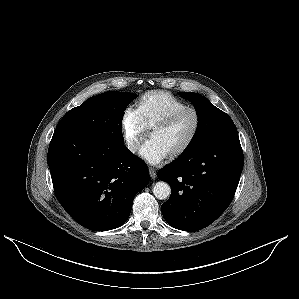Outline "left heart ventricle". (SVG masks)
I'll list each match as a JSON object with an SVG mask.
<instances>
[{"mask_svg":"<svg viewBox=\"0 0 299 299\" xmlns=\"http://www.w3.org/2000/svg\"><path fill=\"white\" fill-rule=\"evenodd\" d=\"M195 118L192 113H186L170 127L155 130L151 138L156 139L169 154L180 148L192 133Z\"/></svg>","mask_w":299,"mask_h":299,"instance_id":"b2bd125f","label":"left heart ventricle"}]
</instances>
